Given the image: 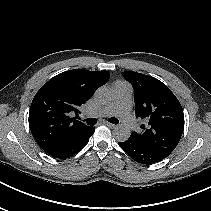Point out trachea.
Here are the masks:
<instances>
[{
    "label": "trachea",
    "mask_w": 211,
    "mask_h": 211,
    "mask_svg": "<svg viewBox=\"0 0 211 211\" xmlns=\"http://www.w3.org/2000/svg\"><path fill=\"white\" fill-rule=\"evenodd\" d=\"M84 121L87 123V125H90V126H93L97 123V119L95 118H88V119H85ZM108 122L113 123V124L119 123L118 119L116 118H109Z\"/></svg>",
    "instance_id": "trachea-1"
}]
</instances>
